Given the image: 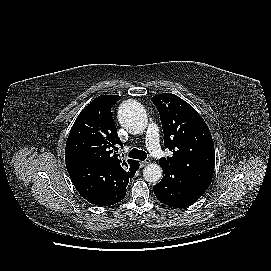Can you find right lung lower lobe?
Masks as SVG:
<instances>
[{
	"mask_svg": "<svg viewBox=\"0 0 271 271\" xmlns=\"http://www.w3.org/2000/svg\"><path fill=\"white\" fill-rule=\"evenodd\" d=\"M66 167L83 198L95 205L110 206L124 198L129 178L134 176L139 163L130 174L80 158L67 160Z\"/></svg>",
	"mask_w": 271,
	"mask_h": 271,
	"instance_id": "98d812e1",
	"label": "right lung lower lobe"
}]
</instances>
